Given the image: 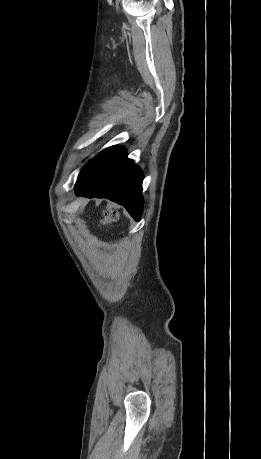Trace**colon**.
I'll list each match as a JSON object with an SVG mask.
<instances>
[{
	"label": "colon",
	"mask_w": 261,
	"mask_h": 459,
	"mask_svg": "<svg viewBox=\"0 0 261 459\" xmlns=\"http://www.w3.org/2000/svg\"><path fill=\"white\" fill-rule=\"evenodd\" d=\"M117 219V212L114 210L106 211L103 218V224L107 225L114 222Z\"/></svg>",
	"instance_id": "obj_1"
}]
</instances>
